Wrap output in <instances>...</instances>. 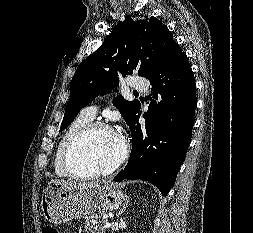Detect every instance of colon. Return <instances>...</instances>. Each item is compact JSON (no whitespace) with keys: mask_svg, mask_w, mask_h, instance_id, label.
Returning a JSON list of instances; mask_svg holds the SVG:
<instances>
[{"mask_svg":"<svg viewBox=\"0 0 253 233\" xmlns=\"http://www.w3.org/2000/svg\"><path fill=\"white\" fill-rule=\"evenodd\" d=\"M43 233H62L60 229L55 225H47L43 229Z\"/></svg>","mask_w":253,"mask_h":233,"instance_id":"colon-1","label":"colon"}]
</instances>
